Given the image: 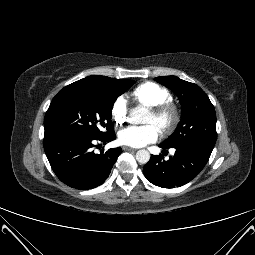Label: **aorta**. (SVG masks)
Masks as SVG:
<instances>
[{
	"label": "aorta",
	"mask_w": 255,
	"mask_h": 255,
	"mask_svg": "<svg viewBox=\"0 0 255 255\" xmlns=\"http://www.w3.org/2000/svg\"><path fill=\"white\" fill-rule=\"evenodd\" d=\"M147 114L148 110L145 107L138 106L131 110L130 117L134 123L143 124L146 122ZM136 160L140 164H146L150 160V153L145 149L139 150L136 153Z\"/></svg>",
	"instance_id": "1"
}]
</instances>
